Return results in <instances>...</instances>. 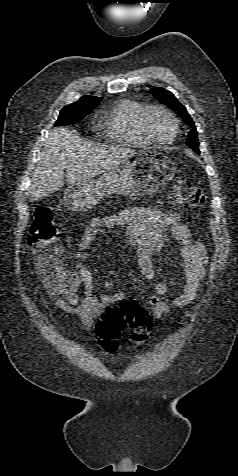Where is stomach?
Wrapping results in <instances>:
<instances>
[{"instance_id": "stomach-1", "label": "stomach", "mask_w": 238, "mask_h": 476, "mask_svg": "<svg viewBox=\"0 0 238 476\" xmlns=\"http://www.w3.org/2000/svg\"><path fill=\"white\" fill-rule=\"evenodd\" d=\"M176 171L175 162L162 151H134L99 179L69 186L64 203L71 211L84 212L111 194L155 195Z\"/></svg>"}]
</instances>
